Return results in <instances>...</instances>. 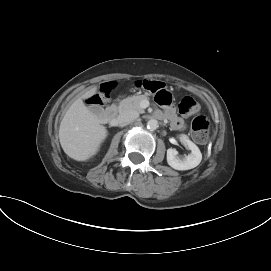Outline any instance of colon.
<instances>
[{"label":"colon","instance_id":"1","mask_svg":"<svg viewBox=\"0 0 271 271\" xmlns=\"http://www.w3.org/2000/svg\"><path fill=\"white\" fill-rule=\"evenodd\" d=\"M137 88L143 89L149 93L155 94L156 101L162 106H169L172 103V95L165 88V85L154 79H141L135 83ZM113 85L111 83L104 84L98 93L89 99V103L95 107L103 104V101L109 97ZM178 109L181 114L188 115L198 111L199 103L193 97L186 96L181 99L178 104ZM210 123L205 116H197L191 124V132L193 139L198 143L206 142L208 138Z\"/></svg>","mask_w":271,"mask_h":271}]
</instances>
